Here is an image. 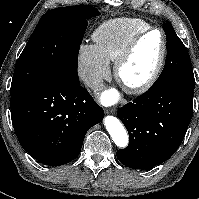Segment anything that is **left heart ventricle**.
<instances>
[{"label": "left heart ventricle", "instance_id": "b2bd125f", "mask_svg": "<svg viewBox=\"0 0 199 199\" xmlns=\"http://www.w3.org/2000/svg\"><path fill=\"white\" fill-rule=\"evenodd\" d=\"M161 44V35L157 32L149 34L139 42L122 67L121 78L125 84H139L151 75L161 53Z\"/></svg>", "mask_w": 199, "mask_h": 199}]
</instances>
